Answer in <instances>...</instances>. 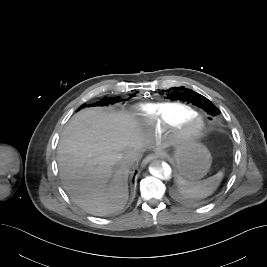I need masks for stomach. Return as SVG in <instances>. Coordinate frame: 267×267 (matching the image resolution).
<instances>
[{
	"instance_id": "obj_1",
	"label": "stomach",
	"mask_w": 267,
	"mask_h": 267,
	"mask_svg": "<svg viewBox=\"0 0 267 267\" xmlns=\"http://www.w3.org/2000/svg\"><path fill=\"white\" fill-rule=\"evenodd\" d=\"M173 158L181 176L189 181L203 178L211 166V154L202 144L183 141L175 146Z\"/></svg>"
}]
</instances>
